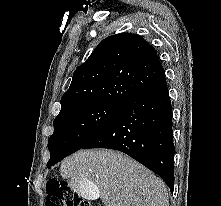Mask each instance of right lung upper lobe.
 <instances>
[{
	"mask_svg": "<svg viewBox=\"0 0 221 206\" xmlns=\"http://www.w3.org/2000/svg\"><path fill=\"white\" fill-rule=\"evenodd\" d=\"M164 77L156 50L142 37L110 36L74 71L60 112L94 103L125 106Z\"/></svg>",
	"mask_w": 221,
	"mask_h": 206,
	"instance_id": "obj_1",
	"label": "right lung upper lobe"
}]
</instances>
